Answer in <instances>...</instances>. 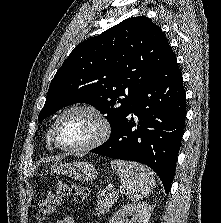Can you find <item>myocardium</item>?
Listing matches in <instances>:
<instances>
[{"label":"myocardium","mask_w":221,"mask_h":223,"mask_svg":"<svg viewBox=\"0 0 221 223\" xmlns=\"http://www.w3.org/2000/svg\"><path fill=\"white\" fill-rule=\"evenodd\" d=\"M73 111H84L88 112L91 115H93L97 121L99 122V132L98 134L89 142H87L84 145L81 146H64L59 143L57 139V128L58 125L61 121V119L68 113L73 112ZM111 134V124L107 116L101 112L99 109L92 105H87V104H76L72 105L70 107H67L64 109L55 119L52 129L50 132V139L52 143L54 144L55 147L62 151H67V152H84V151H89L92 149H95L96 147L102 145L110 136Z\"/></svg>","instance_id":"obj_1"}]
</instances>
